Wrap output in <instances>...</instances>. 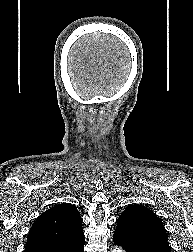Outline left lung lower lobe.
<instances>
[{
	"label": "left lung lower lobe",
	"instance_id": "1",
	"mask_svg": "<svg viewBox=\"0 0 193 252\" xmlns=\"http://www.w3.org/2000/svg\"><path fill=\"white\" fill-rule=\"evenodd\" d=\"M114 243L121 245L126 252H171L168 242L157 239L127 241L114 233Z\"/></svg>",
	"mask_w": 193,
	"mask_h": 252
}]
</instances>
